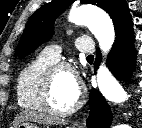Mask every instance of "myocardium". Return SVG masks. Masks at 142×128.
I'll return each mask as SVG.
<instances>
[{
	"label": "myocardium",
	"mask_w": 142,
	"mask_h": 128,
	"mask_svg": "<svg viewBox=\"0 0 142 128\" xmlns=\"http://www.w3.org/2000/svg\"><path fill=\"white\" fill-rule=\"evenodd\" d=\"M61 70L69 71L72 74H74V69L68 63H56L50 66L46 70L43 77L40 91V101L43 109L47 111L49 114L64 117L76 112L82 106L84 101V95L82 88L78 86V96L75 103L71 107L65 110H60L54 107L51 101V88L55 74Z\"/></svg>",
	"instance_id": "1"
}]
</instances>
